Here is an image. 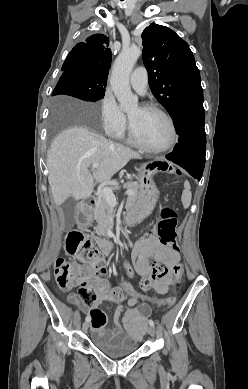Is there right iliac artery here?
<instances>
[{
	"mask_svg": "<svg viewBox=\"0 0 248 389\" xmlns=\"http://www.w3.org/2000/svg\"><path fill=\"white\" fill-rule=\"evenodd\" d=\"M86 321L89 322L90 321V317L87 316L86 317Z\"/></svg>",
	"mask_w": 248,
	"mask_h": 389,
	"instance_id": "1",
	"label": "right iliac artery"
}]
</instances>
